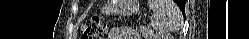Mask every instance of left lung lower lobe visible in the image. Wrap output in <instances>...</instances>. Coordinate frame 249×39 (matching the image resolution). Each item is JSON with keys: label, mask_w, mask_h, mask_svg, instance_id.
Returning a JSON list of instances; mask_svg holds the SVG:
<instances>
[{"label": "left lung lower lobe", "mask_w": 249, "mask_h": 39, "mask_svg": "<svg viewBox=\"0 0 249 39\" xmlns=\"http://www.w3.org/2000/svg\"><path fill=\"white\" fill-rule=\"evenodd\" d=\"M175 2L177 3V4H179V2H182V6L180 5H178L179 7H180V9L182 10V12H184L185 11V2L183 1V0H175Z\"/></svg>", "instance_id": "obj_1"}]
</instances>
